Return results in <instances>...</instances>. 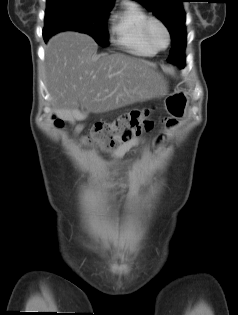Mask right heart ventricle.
<instances>
[{"label":"right heart ventricle","instance_id":"right-heart-ventricle-1","mask_svg":"<svg viewBox=\"0 0 238 315\" xmlns=\"http://www.w3.org/2000/svg\"><path fill=\"white\" fill-rule=\"evenodd\" d=\"M149 17L140 6L127 3L112 19L111 32L115 43L135 55H155L157 50L148 43L144 34V26Z\"/></svg>","mask_w":238,"mask_h":315}]
</instances>
